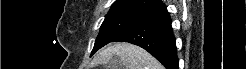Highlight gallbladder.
Wrapping results in <instances>:
<instances>
[{
	"mask_svg": "<svg viewBox=\"0 0 246 69\" xmlns=\"http://www.w3.org/2000/svg\"><path fill=\"white\" fill-rule=\"evenodd\" d=\"M118 61H119L118 56L114 55L112 59L105 65V68L106 69H116L120 67V64Z\"/></svg>",
	"mask_w": 246,
	"mask_h": 69,
	"instance_id": "obj_1",
	"label": "gallbladder"
}]
</instances>
